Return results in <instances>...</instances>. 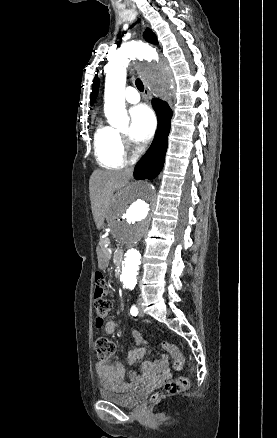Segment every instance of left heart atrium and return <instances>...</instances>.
Wrapping results in <instances>:
<instances>
[{
	"instance_id": "left-heart-atrium-1",
	"label": "left heart atrium",
	"mask_w": 277,
	"mask_h": 438,
	"mask_svg": "<svg viewBox=\"0 0 277 438\" xmlns=\"http://www.w3.org/2000/svg\"><path fill=\"white\" fill-rule=\"evenodd\" d=\"M133 121L132 138L139 143L149 141L155 131L156 120L153 111L146 105L134 107L130 111Z\"/></svg>"
}]
</instances>
